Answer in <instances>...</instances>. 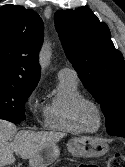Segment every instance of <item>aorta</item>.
<instances>
[{
    "mask_svg": "<svg viewBox=\"0 0 125 167\" xmlns=\"http://www.w3.org/2000/svg\"><path fill=\"white\" fill-rule=\"evenodd\" d=\"M49 58H50L49 45L44 44L40 52V64L42 65V67L48 65Z\"/></svg>",
    "mask_w": 125,
    "mask_h": 167,
    "instance_id": "762f6f07",
    "label": "aorta"
}]
</instances>
